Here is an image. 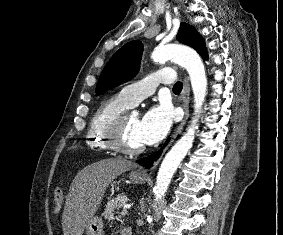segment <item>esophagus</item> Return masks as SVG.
<instances>
[{"label": "esophagus", "instance_id": "esophagus-1", "mask_svg": "<svg viewBox=\"0 0 283 235\" xmlns=\"http://www.w3.org/2000/svg\"><path fill=\"white\" fill-rule=\"evenodd\" d=\"M189 101H190V84H189V79L187 77H185L184 79V86H183V90L181 93V103H182V107L184 110V117L183 120L181 121V123L177 126V128L175 129V131L172 134V138L169 142V144L167 145V147L165 148V150L168 148V146L174 141V139L178 136V134L182 131L188 116H189ZM164 150V151H165ZM159 160H156L153 164V166L151 167L150 170H154L156 168V166L159 163ZM142 174L147 175L148 171L146 169H140L139 170Z\"/></svg>", "mask_w": 283, "mask_h": 235}]
</instances>
